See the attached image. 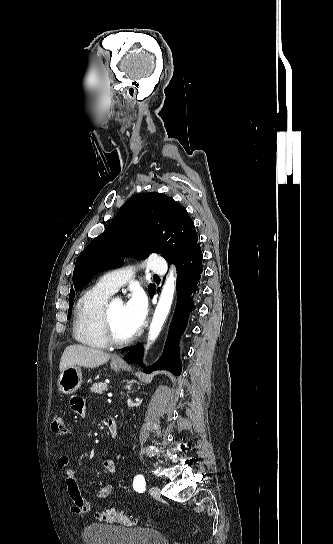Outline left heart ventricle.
Instances as JSON below:
<instances>
[{"label":"left heart ventricle","instance_id":"b2bd125f","mask_svg":"<svg viewBox=\"0 0 333 544\" xmlns=\"http://www.w3.org/2000/svg\"><path fill=\"white\" fill-rule=\"evenodd\" d=\"M110 317L113 329L118 337L126 338L134 334L126 321L123 302L118 300L112 302Z\"/></svg>","mask_w":333,"mask_h":544}]
</instances>
